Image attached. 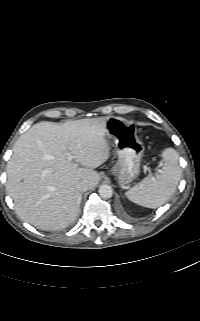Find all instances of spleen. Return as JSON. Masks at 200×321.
<instances>
[{
    "mask_svg": "<svg viewBox=\"0 0 200 321\" xmlns=\"http://www.w3.org/2000/svg\"><path fill=\"white\" fill-rule=\"evenodd\" d=\"M162 170L155 176H147L128 190L126 197L140 206L156 209L163 205L176 191L182 176L179 155L173 148L162 151Z\"/></svg>",
    "mask_w": 200,
    "mask_h": 321,
    "instance_id": "obj_1",
    "label": "spleen"
}]
</instances>
